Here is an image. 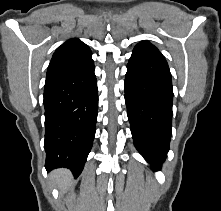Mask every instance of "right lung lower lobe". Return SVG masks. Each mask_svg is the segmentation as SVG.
Here are the masks:
<instances>
[{"label": "right lung lower lobe", "instance_id": "98d812e1", "mask_svg": "<svg viewBox=\"0 0 221 211\" xmlns=\"http://www.w3.org/2000/svg\"><path fill=\"white\" fill-rule=\"evenodd\" d=\"M94 63L73 73L46 80L45 167L69 168L78 177L95 135L98 89Z\"/></svg>", "mask_w": 221, "mask_h": 211}]
</instances>
